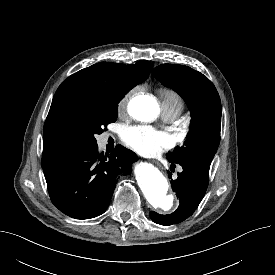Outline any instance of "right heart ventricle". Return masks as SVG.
<instances>
[{"mask_svg": "<svg viewBox=\"0 0 275 275\" xmlns=\"http://www.w3.org/2000/svg\"><path fill=\"white\" fill-rule=\"evenodd\" d=\"M159 96L162 101V107H172L182 111L184 102L177 91L170 88L161 89L159 91Z\"/></svg>", "mask_w": 275, "mask_h": 275, "instance_id": "e07e8e85", "label": "right heart ventricle"}]
</instances>
